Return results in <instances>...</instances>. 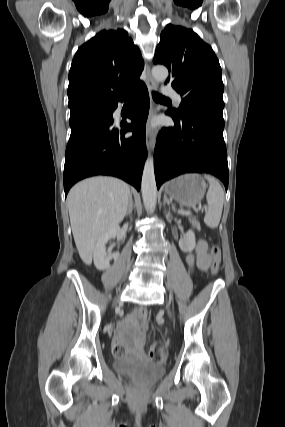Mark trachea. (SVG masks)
I'll return each instance as SVG.
<instances>
[{"label": "trachea", "mask_w": 285, "mask_h": 427, "mask_svg": "<svg viewBox=\"0 0 285 427\" xmlns=\"http://www.w3.org/2000/svg\"><path fill=\"white\" fill-rule=\"evenodd\" d=\"M152 96L154 100H166V97H163L162 95L156 93V92H152Z\"/></svg>", "instance_id": "trachea-1"}]
</instances>
